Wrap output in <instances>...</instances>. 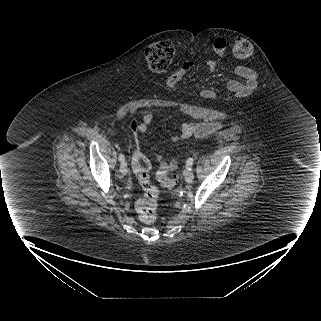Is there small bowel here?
<instances>
[{
	"instance_id": "small-bowel-1",
	"label": "small bowel",
	"mask_w": 321,
	"mask_h": 321,
	"mask_svg": "<svg viewBox=\"0 0 321 321\" xmlns=\"http://www.w3.org/2000/svg\"><path fill=\"white\" fill-rule=\"evenodd\" d=\"M212 48L214 53L217 56L222 57L226 52L225 40L221 38L215 39L213 41ZM207 66L210 69H214L216 67V61H213V60L208 61ZM193 68H194L193 62L184 63L178 70H176L169 76L168 84L171 86L178 84L185 76H187L193 70ZM231 69L233 72L240 75L241 78L248 79L249 81L242 82L239 79L232 80L231 83L228 84L226 87V90L228 93H230L233 96L242 97L248 92H251L258 87L259 85L258 80L260 78V75L258 72L252 70L250 66L242 65L238 62H235L232 64ZM198 96H201V95H198ZM152 122H153V114L151 112H146L142 118V122L138 126V132L140 134L147 133ZM221 128H222V125L218 122L184 123L181 126L180 132L177 134H174L171 140L174 143L179 144L190 137H206V136L212 135L218 130H220ZM156 158L158 160V170H157L158 176L167 175L168 173L173 172L177 168V162L175 160L167 162L160 153L156 154Z\"/></svg>"
}]
</instances>
